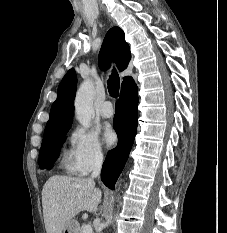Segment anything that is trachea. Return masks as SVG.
<instances>
[{"mask_svg":"<svg viewBox=\"0 0 227 233\" xmlns=\"http://www.w3.org/2000/svg\"><path fill=\"white\" fill-rule=\"evenodd\" d=\"M109 94L116 98L119 95L120 78L116 70H113L107 81Z\"/></svg>","mask_w":227,"mask_h":233,"instance_id":"3493384b","label":"trachea"}]
</instances>
